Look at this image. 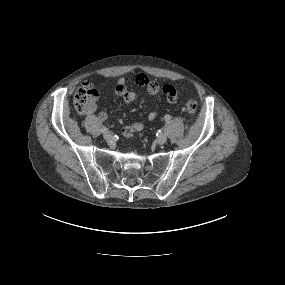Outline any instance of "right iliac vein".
<instances>
[{"instance_id": "1", "label": "right iliac vein", "mask_w": 285, "mask_h": 285, "mask_svg": "<svg viewBox=\"0 0 285 285\" xmlns=\"http://www.w3.org/2000/svg\"><path fill=\"white\" fill-rule=\"evenodd\" d=\"M103 137H104L105 140L111 141L114 138V135L111 132H105Z\"/></svg>"}]
</instances>
